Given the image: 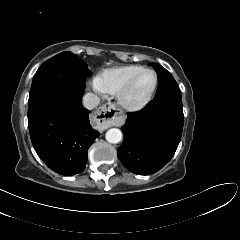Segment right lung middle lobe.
Segmentation results:
<instances>
[{
  "instance_id": "right-lung-middle-lobe-1",
  "label": "right lung middle lobe",
  "mask_w": 240,
  "mask_h": 240,
  "mask_svg": "<svg viewBox=\"0 0 240 240\" xmlns=\"http://www.w3.org/2000/svg\"><path fill=\"white\" fill-rule=\"evenodd\" d=\"M89 69L87 64L72 52H62L44 62L34 75L29 101L55 86L85 88ZM28 101V102H29Z\"/></svg>"
}]
</instances>
